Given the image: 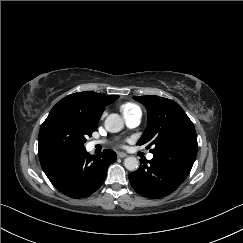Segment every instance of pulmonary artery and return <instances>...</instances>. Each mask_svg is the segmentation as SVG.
I'll return each instance as SVG.
<instances>
[{
    "label": "pulmonary artery",
    "instance_id": "obj_1",
    "mask_svg": "<svg viewBox=\"0 0 243 243\" xmlns=\"http://www.w3.org/2000/svg\"><path fill=\"white\" fill-rule=\"evenodd\" d=\"M141 119H142V111L140 108H137V109L133 110L132 112H129L124 115L125 123L129 128L137 127L140 124ZM104 143H106V142L105 141H98V142L94 141V142L90 143V146L94 147L96 144H104ZM147 158L149 160L153 159V154L149 153L147 155Z\"/></svg>",
    "mask_w": 243,
    "mask_h": 243
}]
</instances>
